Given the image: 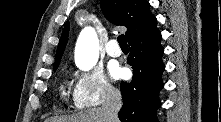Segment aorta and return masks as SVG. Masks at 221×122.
<instances>
[{"instance_id": "1", "label": "aorta", "mask_w": 221, "mask_h": 122, "mask_svg": "<svg viewBox=\"0 0 221 122\" xmlns=\"http://www.w3.org/2000/svg\"><path fill=\"white\" fill-rule=\"evenodd\" d=\"M99 58V40L92 27L84 28L75 48V64L82 71H89Z\"/></svg>"}]
</instances>
